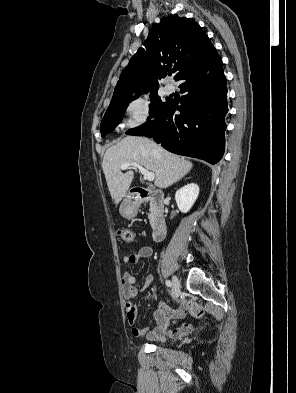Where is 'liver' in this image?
<instances>
[{"instance_id": "6515ba94", "label": "liver", "mask_w": 296, "mask_h": 393, "mask_svg": "<svg viewBox=\"0 0 296 393\" xmlns=\"http://www.w3.org/2000/svg\"><path fill=\"white\" fill-rule=\"evenodd\" d=\"M127 162H136L154 173V183L161 189L182 179L193 166L147 138L127 136L106 150L102 162L107 186L116 204L125 197L134 178L133 171L122 173L120 170Z\"/></svg>"}]
</instances>
